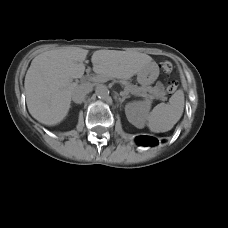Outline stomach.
<instances>
[{"mask_svg": "<svg viewBox=\"0 0 228 228\" xmlns=\"http://www.w3.org/2000/svg\"><path fill=\"white\" fill-rule=\"evenodd\" d=\"M159 69L155 63H151L137 74V81L143 86L151 85L158 77Z\"/></svg>", "mask_w": 228, "mask_h": 228, "instance_id": "stomach-1", "label": "stomach"}]
</instances>
